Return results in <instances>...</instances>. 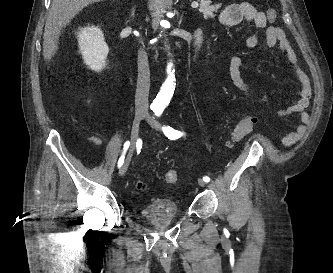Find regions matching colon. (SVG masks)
<instances>
[{
    "label": "colon",
    "instance_id": "colon-1",
    "mask_svg": "<svg viewBox=\"0 0 333 273\" xmlns=\"http://www.w3.org/2000/svg\"><path fill=\"white\" fill-rule=\"evenodd\" d=\"M267 18L270 22L275 21L277 13L275 9L267 10ZM257 122L256 117L254 116H245L243 117L234 127L232 135H231V144H235L246 137L253 129ZM165 181L167 184H175L178 180V175L175 171L170 170L165 173ZM137 187L140 190L145 188L143 183H138Z\"/></svg>",
    "mask_w": 333,
    "mask_h": 273
}]
</instances>
